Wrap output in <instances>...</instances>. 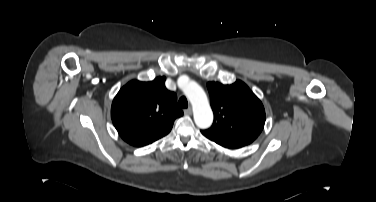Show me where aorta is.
<instances>
[{
  "label": "aorta",
  "mask_w": 376,
  "mask_h": 202,
  "mask_svg": "<svg viewBox=\"0 0 376 202\" xmlns=\"http://www.w3.org/2000/svg\"><path fill=\"white\" fill-rule=\"evenodd\" d=\"M178 86L193 106L195 124L201 129L210 127L213 122V112L204 90L195 81H190L186 77L178 79Z\"/></svg>",
  "instance_id": "obj_1"
}]
</instances>
